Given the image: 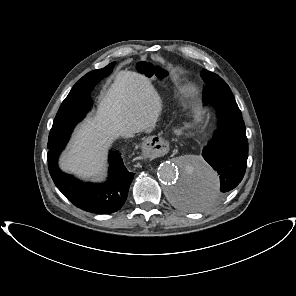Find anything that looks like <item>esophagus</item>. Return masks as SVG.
<instances>
[{
	"label": "esophagus",
	"instance_id": "1",
	"mask_svg": "<svg viewBox=\"0 0 296 296\" xmlns=\"http://www.w3.org/2000/svg\"><path fill=\"white\" fill-rule=\"evenodd\" d=\"M168 143L162 137L150 136L142 143L141 149L145 156L150 158H161L165 155Z\"/></svg>",
	"mask_w": 296,
	"mask_h": 296
}]
</instances>
